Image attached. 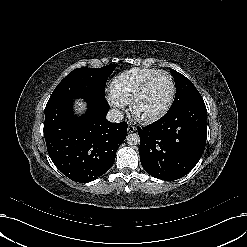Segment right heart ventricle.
Wrapping results in <instances>:
<instances>
[{"mask_svg":"<svg viewBox=\"0 0 247 247\" xmlns=\"http://www.w3.org/2000/svg\"><path fill=\"white\" fill-rule=\"evenodd\" d=\"M160 70L148 67H136L117 75L111 84V95L123 104L128 103L140 86Z\"/></svg>","mask_w":247,"mask_h":247,"instance_id":"right-heart-ventricle-1","label":"right heart ventricle"}]
</instances>
